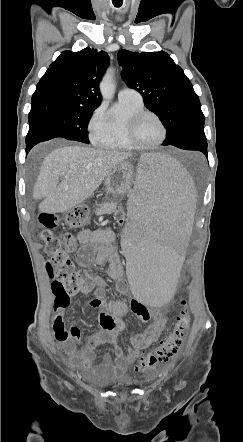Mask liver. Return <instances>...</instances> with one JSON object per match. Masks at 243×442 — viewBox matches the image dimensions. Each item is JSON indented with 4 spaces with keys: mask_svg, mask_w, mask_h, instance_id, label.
I'll use <instances>...</instances> for the list:
<instances>
[{
    "mask_svg": "<svg viewBox=\"0 0 243 442\" xmlns=\"http://www.w3.org/2000/svg\"><path fill=\"white\" fill-rule=\"evenodd\" d=\"M130 156L125 152L85 146L54 149L46 155L33 190L34 198H44L40 211L63 213L80 205ZM60 178H63L61 183Z\"/></svg>",
    "mask_w": 243,
    "mask_h": 442,
    "instance_id": "obj_1",
    "label": "liver"
}]
</instances>
